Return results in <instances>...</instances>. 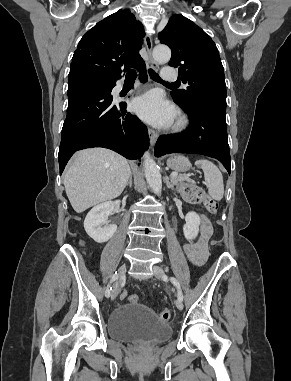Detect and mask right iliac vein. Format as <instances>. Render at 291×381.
Instances as JSON below:
<instances>
[{"label":"right iliac vein","instance_id":"1","mask_svg":"<svg viewBox=\"0 0 291 381\" xmlns=\"http://www.w3.org/2000/svg\"><path fill=\"white\" fill-rule=\"evenodd\" d=\"M125 273H126V266L125 265L120 266V268L118 269L119 278H122L125 275ZM118 293H119V284L116 283L111 293V299L114 300L117 297Z\"/></svg>","mask_w":291,"mask_h":381}]
</instances>
